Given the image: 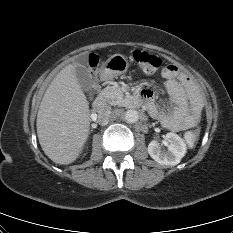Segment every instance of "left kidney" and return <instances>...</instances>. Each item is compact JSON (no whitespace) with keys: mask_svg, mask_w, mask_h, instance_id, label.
Here are the masks:
<instances>
[{"mask_svg":"<svg viewBox=\"0 0 233 233\" xmlns=\"http://www.w3.org/2000/svg\"><path fill=\"white\" fill-rule=\"evenodd\" d=\"M166 140L168 141L166 150L161 149L159 143L153 140L148 145V153L152 159L160 164L177 165L185 155L187 145L182 138L172 132L166 134Z\"/></svg>","mask_w":233,"mask_h":233,"instance_id":"1","label":"left kidney"}]
</instances>
